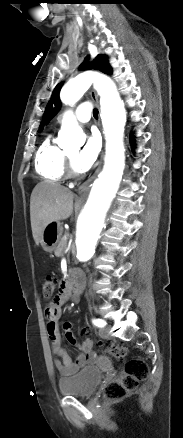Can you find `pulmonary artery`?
<instances>
[{
	"instance_id": "1",
	"label": "pulmonary artery",
	"mask_w": 183,
	"mask_h": 438,
	"mask_svg": "<svg viewBox=\"0 0 183 438\" xmlns=\"http://www.w3.org/2000/svg\"><path fill=\"white\" fill-rule=\"evenodd\" d=\"M91 105L88 102L81 103L75 111V117L80 123H87L91 117Z\"/></svg>"
}]
</instances>
